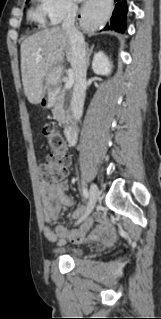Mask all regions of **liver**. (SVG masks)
Returning <instances> with one entry per match:
<instances>
[{"label":"liver","instance_id":"liver-1","mask_svg":"<svg viewBox=\"0 0 161 319\" xmlns=\"http://www.w3.org/2000/svg\"><path fill=\"white\" fill-rule=\"evenodd\" d=\"M72 63L69 35L62 27L35 33L21 44V73L25 95L32 104L44 97V80L52 69L60 68L64 56ZM37 56H41L37 60Z\"/></svg>","mask_w":161,"mask_h":319}]
</instances>
